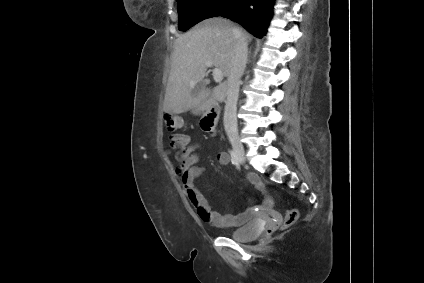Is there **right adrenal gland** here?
<instances>
[{
  "instance_id": "obj_1",
  "label": "right adrenal gland",
  "mask_w": 424,
  "mask_h": 283,
  "mask_svg": "<svg viewBox=\"0 0 424 283\" xmlns=\"http://www.w3.org/2000/svg\"><path fill=\"white\" fill-rule=\"evenodd\" d=\"M250 53H251V52L249 51V58H250Z\"/></svg>"
}]
</instances>
